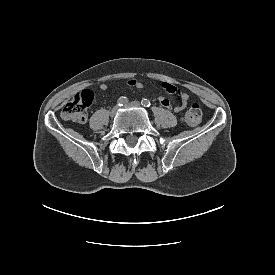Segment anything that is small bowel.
<instances>
[{"label":"small bowel","mask_w":275,"mask_h":275,"mask_svg":"<svg viewBox=\"0 0 275 275\" xmlns=\"http://www.w3.org/2000/svg\"><path fill=\"white\" fill-rule=\"evenodd\" d=\"M128 85L130 87H134V88H138V89L143 88V83L137 79H130L128 81ZM106 88H107V86L105 84L99 85L100 90H106ZM161 88H162L163 92L159 95L158 100H159V103L163 107L168 108V109L171 108V104L165 96V93H168V94L174 95L179 98L178 104L174 107L175 112H181L186 108V106L188 104V100H189V95L186 92H183L177 86L169 84V83H163L161 85Z\"/></svg>","instance_id":"obj_1"}]
</instances>
